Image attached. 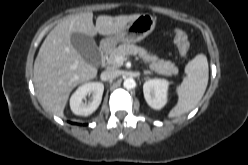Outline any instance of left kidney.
Returning <instances> with one entry per match:
<instances>
[{"instance_id": "left-kidney-1", "label": "left kidney", "mask_w": 248, "mask_h": 165, "mask_svg": "<svg viewBox=\"0 0 248 165\" xmlns=\"http://www.w3.org/2000/svg\"><path fill=\"white\" fill-rule=\"evenodd\" d=\"M169 81L166 79H148L143 85L144 98L147 104L156 110H160L167 103Z\"/></svg>"}]
</instances>
